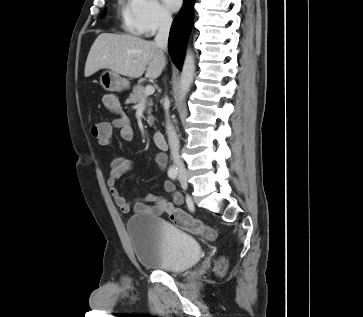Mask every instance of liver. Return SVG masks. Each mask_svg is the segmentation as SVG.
<instances>
[{
	"label": "liver",
	"mask_w": 363,
	"mask_h": 317,
	"mask_svg": "<svg viewBox=\"0 0 363 317\" xmlns=\"http://www.w3.org/2000/svg\"><path fill=\"white\" fill-rule=\"evenodd\" d=\"M166 65L164 52L155 42L133 35L102 33L94 41L85 64V77L100 69H110L118 74L139 78L159 77Z\"/></svg>",
	"instance_id": "liver-1"
}]
</instances>
